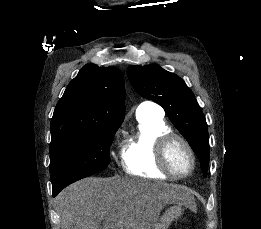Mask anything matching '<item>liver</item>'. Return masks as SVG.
Listing matches in <instances>:
<instances>
[{
    "instance_id": "liver-1",
    "label": "liver",
    "mask_w": 261,
    "mask_h": 229,
    "mask_svg": "<svg viewBox=\"0 0 261 229\" xmlns=\"http://www.w3.org/2000/svg\"><path fill=\"white\" fill-rule=\"evenodd\" d=\"M180 185L143 179L88 177L59 197L63 229H153L166 203L192 201Z\"/></svg>"
}]
</instances>
